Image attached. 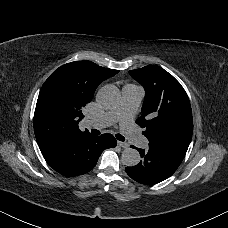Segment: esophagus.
<instances>
[{"instance_id": "1", "label": "esophagus", "mask_w": 228, "mask_h": 228, "mask_svg": "<svg viewBox=\"0 0 228 228\" xmlns=\"http://www.w3.org/2000/svg\"><path fill=\"white\" fill-rule=\"evenodd\" d=\"M117 144L122 147V148H128L129 147V144L128 143H125V142H122V141H118Z\"/></svg>"}]
</instances>
